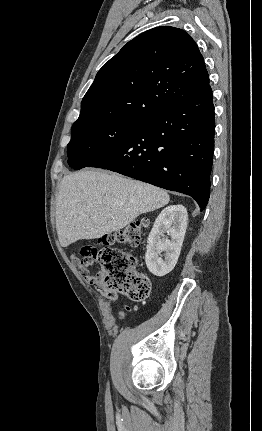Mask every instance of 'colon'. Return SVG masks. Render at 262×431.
<instances>
[{
  "label": "colon",
  "instance_id": "5ec220e1",
  "mask_svg": "<svg viewBox=\"0 0 262 431\" xmlns=\"http://www.w3.org/2000/svg\"><path fill=\"white\" fill-rule=\"evenodd\" d=\"M146 227L145 221L131 223L117 232L105 235L99 240L98 247L83 248L73 256L78 272L83 276L91 275L109 290L121 292L130 300L146 301L151 290L149 278L137 270L138 260L133 254L116 247L138 245ZM92 265L100 268L95 275L90 272Z\"/></svg>",
  "mask_w": 262,
  "mask_h": 431
}]
</instances>
